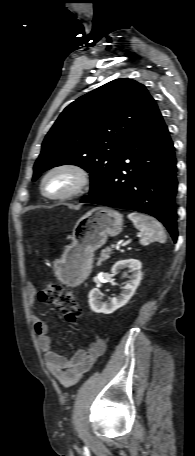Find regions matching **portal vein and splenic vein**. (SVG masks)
Listing matches in <instances>:
<instances>
[{
  "label": "portal vein and splenic vein",
  "mask_w": 195,
  "mask_h": 456,
  "mask_svg": "<svg viewBox=\"0 0 195 456\" xmlns=\"http://www.w3.org/2000/svg\"><path fill=\"white\" fill-rule=\"evenodd\" d=\"M119 247V244H111V248H117Z\"/></svg>",
  "instance_id": "1"
}]
</instances>
